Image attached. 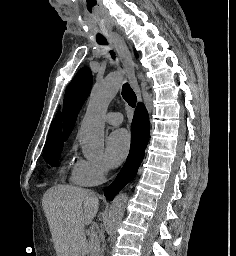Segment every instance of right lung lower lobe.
<instances>
[{
    "label": "right lung lower lobe",
    "mask_w": 236,
    "mask_h": 256,
    "mask_svg": "<svg viewBox=\"0 0 236 256\" xmlns=\"http://www.w3.org/2000/svg\"><path fill=\"white\" fill-rule=\"evenodd\" d=\"M149 140V117L143 104H138L131 125V147L126 163L116 179L104 190L105 197L112 201L118 192L137 174L144 158Z\"/></svg>",
    "instance_id": "obj_1"
}]
</instances>
